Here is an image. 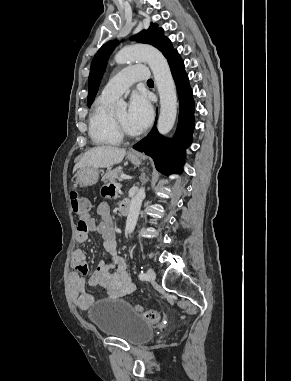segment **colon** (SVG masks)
<instances>
[{
	"label": "colon",
	"mask_w": 291,
	"mask_h": 381,
	"mask_svg": "<svg viewBox=\"0 0 291 381\" xmlns=\"http://www.w3.org/2000/svg\"><path fill=\"white\" fill-rule=\"evenodd\" d=\"M70 199L72 212L79 219L80 229L86 230L87 223L91 219V203L74 188L70 192ZM134 308L139 315L152 324H157L161 320V314L158 311L147 310L140 305H135Z\"/></svg>",
	"instance_id": "5ec220e1"
}]
</instances>
